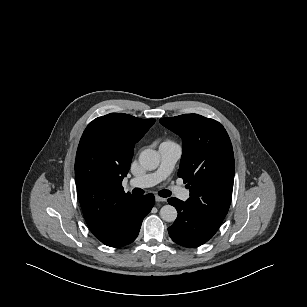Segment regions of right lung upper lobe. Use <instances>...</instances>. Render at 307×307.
I'll list each match as a JSON object with an SVG mask.
<instances>
[{
    "label": "right lung upper lobe",
    "instance_id": "1",
    "mask_svg": "<svg viewBox=\"0 0 307 307\" xmlns=\"http://www.w3.org/2000/svg\"><path fill=\"white\" fill-rule=\"evenodd\" d=\"M155 119L111 113L94 119L80 139L75 160V181L84 218L104 244L120 238L140 202L125 193L133 149Z\"/></svg>",
    "mask_w": 307,
    "mask_h": 307
}]
</instances>
